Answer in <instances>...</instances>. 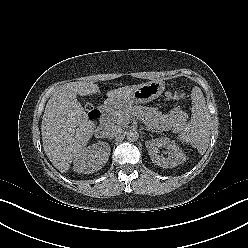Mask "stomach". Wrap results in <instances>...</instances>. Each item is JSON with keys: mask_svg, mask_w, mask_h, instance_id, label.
Wrapping results in <instances>:
<instances>
[{"mask_svg": "<svg viewBox=\"0 0 248 248\" xmlns=\"http://www.w3.org/2000/svg\"><path fill=\"white\" fill-rule=\"evenodd\" d=\"M164 89L163 81L152 80L141 84L127 96L108 98L106 104L111 108L120 109L132 104L147 103L160 96Z\"/></svg>", "mask_w": 248, "mask_h": 248, "instance_id": "obj_1", "label": "stomach"}]
</instances>
